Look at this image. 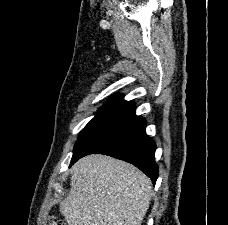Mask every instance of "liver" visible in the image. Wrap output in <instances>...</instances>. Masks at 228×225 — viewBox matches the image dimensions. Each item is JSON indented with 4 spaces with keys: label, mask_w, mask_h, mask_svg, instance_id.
Listing matches in <instances>:
<instances>
[{
    "label": "liver",
    "mask_w": 228,
    "mask_h": 225,
    "mask_svg": "<svg viewBox=\"0 0 228 225\" xmlns=\"http://www.w3.org/2000/svg\"><path fill=\"white\" fill-rule=\"evenodd\" d=\"M70 173L71 189L60 205L67 225H141L153 191L142 171L112 157L88 155Z\"/></svg>",
    "instance_id": "1"
}]
</instances>
